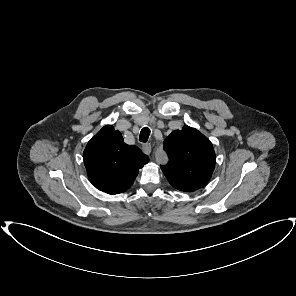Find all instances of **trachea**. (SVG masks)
<instances>
[{
    "instance_id": "1",
    "label": "trachea",
    "mask_w": 296,
    "mask_h": 296,
    "mask_svg": "<svg viewBox=\"0 0 296 296\" xmlns=\"http://www.w3.org/2000/svg\"><path fill=\"white\" fill-rule=\"evenodd\" d=\"M149 135H150V129L147 127H144L140 132L139 141L143 143L147 142Z\"/></svg>"
}]
</instances>
